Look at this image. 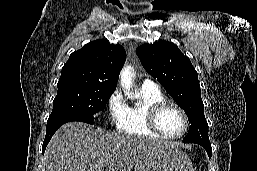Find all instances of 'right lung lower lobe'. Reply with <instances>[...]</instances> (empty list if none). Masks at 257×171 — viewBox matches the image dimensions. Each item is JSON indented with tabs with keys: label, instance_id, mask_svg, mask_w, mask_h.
I'll use <instances>...</instances> for the list:
<instances>
[{
	"label": "right lung lower lobe",
	"instance_id": "right-lung-lower-lobe-1",
	"mask_svg": "<svg viewBox=\"0 0 257 171\" xmlns=\"http://www.w3.org/2000/svg\"><path fill=\"white\" fill-rule=\"evenodd\" d=\"M71 121H80V122H85L88 124H93V120H88V119H83V118H77V117H65V118H60L52 121L47 122V127H46V136L43 142V147H42V153L45 152L46 146L48 145L51 137L53 134L56 132V130L62 126L64 123L71 122Z\"/></svg>",
	"mask_w": 257,
	"mask_h": 171
}]
</instances>
